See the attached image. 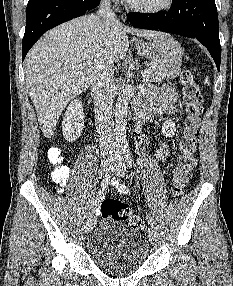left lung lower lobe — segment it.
Segmentation results:
<instances>
[{
	"instance_id": "left-lung-lower-lobe-1",
	"label": "left lung lower lobe",
	"mask_w": 233,
	"mask_h": 286,
	"mask_svg": "<svg viewBox=\"0 0 233 286\" xmlns=\"http://www.w3.org/2000/svg\"><path fill=\"white\" fill-rule=\"evenodd\" d=\"M128 21L139 28L197 39L210 52L220 70L221 46L215 0H173L166 13H130Z\"/></svg>"
}]
</instances>
